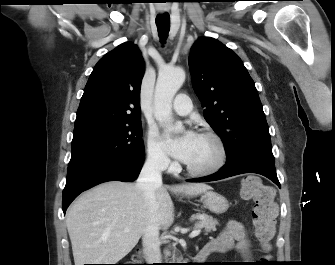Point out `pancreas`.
<instances>
[{
    "mask_svg": "<svg viewBox=\"0 0 335 265\" xmlns=\"http://www.w3.org/2000/svg\"><path fill=\"white\" fill-rule=\"evenodd\" d=\"M191 220H199L195 224V229H205L206 233H209L211 231H216V225L218 224V221L214 219L212 216L205 214V213H197L191 217ZM171 255V252L169 250H165V256L168 257ZM172 259L173 260H180L181 258H176L175 256V250L172 253Z\"/></svg>",
    "mask_w": 335,
    "mask_h": 265,
    "instance_id": "1",
    "label": "pancreas"
}]
</instances>
